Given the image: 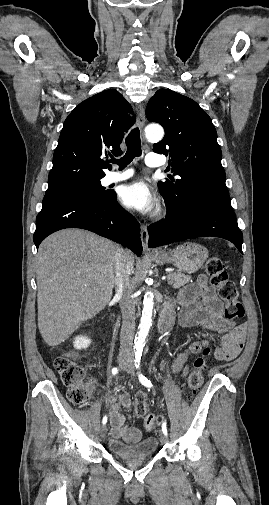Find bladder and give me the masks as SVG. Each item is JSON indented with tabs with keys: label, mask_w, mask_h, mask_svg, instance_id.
<instances>
[{
	"label": "bladder",
	"mask_w": 269,
	"mask_h": 505,
	"mask_svg": "<svg viewBox=\"0 0 269 505\" xmlns=\"http://www.w3.org/2000/svg\"><path fill=\"white\" fill-rule=\"evenodd\" d=\"M108 448L115 456L126 459H139L153 456L158 448V439L154 436L145 437L137 442H124L118 439H110Z\"/></svg>",
	"instance_id": "31cf9c89"
}]
</instances>
